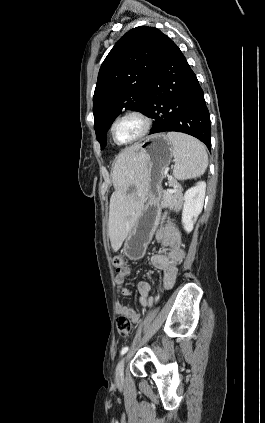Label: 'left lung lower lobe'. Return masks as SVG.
<instances>
[{
	"instance_id": "0a47b994",
	"label": "left lung lower lobe",
	"mask_w": 265,
	"mask_h": 423,
	"mask_svg": "<svg viewBox=\"0 0 265 423\" xmlns=\"http://www.w3.org/2000/svg\"><path fill=\"white\" fill-rule=\"evenodd\" d=\"M143 114L155 119L150 134L183 132L210 150V115L204 93L181 50L168 36L146 91Z\"/></svg>"
}]
</instances>
